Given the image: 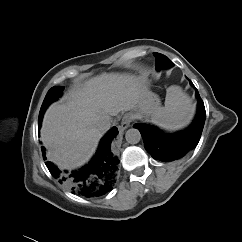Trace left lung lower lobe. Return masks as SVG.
Masks as SVG:
<instances>
[{
	"label": "left lung lower lobe",
	"instance_id": "obj_1",
	"mask_svg": "<svg viewBox=\"0 0 242 242\" xmlns=\"http://www.w3.org/2000/svg\"><path fill=\"white\" fill-rule=\"evenodd\" d=\"M195 93L198 99V111L193 123L185 130L170 134L145 123L133 125L139 129L144 147L154 159L163 162L179 160L197 146L205 123L206 112L197 89Z\"/></svg>",
	"mask_w": 242,
	"mask_h": 242
}]
</instances>
